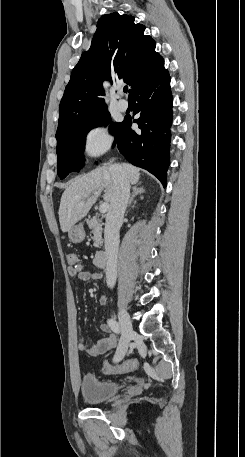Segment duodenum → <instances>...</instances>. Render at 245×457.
I'll return each mask as SVG.
<instances>
[{"label": "duodenum", "instance_id": "obj_1", "mask_svg": "<svg viewBox=\"0 0 245 457\" xmlns=\"http://www.w3.org/2000/svg\"><path fill=\"white\" fill-rule=\"evenodd\" d=\"M108 262V255L104 251H99L94 257V264L98 268H103Z\"/></svg>", "mask_w": 245, "mask_h": 457}]
</instances>
